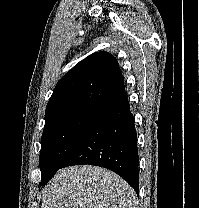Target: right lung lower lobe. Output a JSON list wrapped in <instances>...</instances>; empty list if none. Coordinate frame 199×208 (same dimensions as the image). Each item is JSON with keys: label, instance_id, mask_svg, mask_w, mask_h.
<instances>
[{"label": "right lung lower lobe", "instance_id": "obj_1", "mask_svg": "<svg viewBox=\"0 0 199 208\" xmlns=\"http://www.w3.org/2000/svg\"><path fill=\"white\" fill-rule=\"evenodd\" d=\"M80 164L114 171L139 194L137 134L127 93L118 95L100 107L60 168Z\"/></svg>", "mask_w": 199, "mask_h": 208}]
</instances>
